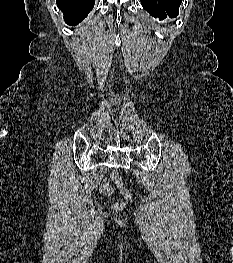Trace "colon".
I'll use <instances>...</instances> for the list:
<instances>
[{"mask_svg": "<svg viewBox=\"0 0 233 263\" xmlns=\"http://www.w3.org/2000/svg\"><path fill=\"white\" fill-rule=\"evenodd\" d=\"M112 178L114 179V181H116V183L119 187L120 193L122 194V196L124 198V200L122 202H119V203H116L113 205V210L119 211V210L123 209L128 202L131 201L132 195H131L130 191L123 186L122 182L119 180V176H118V173L116 171H114L112 173Z\"/></svg>", "mask_w": 233, "mask_h": 263, "instance_id": "colon-1", "label": "colon"}]
</instances>
